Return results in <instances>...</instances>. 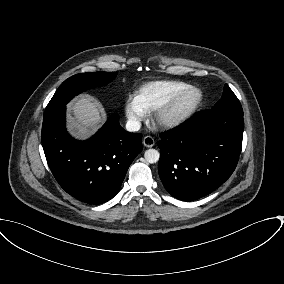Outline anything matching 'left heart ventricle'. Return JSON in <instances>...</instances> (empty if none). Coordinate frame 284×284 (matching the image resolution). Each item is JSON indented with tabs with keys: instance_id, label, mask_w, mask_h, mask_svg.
Here are the masks:
<instances>
[{
	"instance_id": "left-heart-ventricle-1",
	"label": "left heart ventricle",
	"mask_w": 284,
	"mask_h": 284,
	"mask_svg": "<svg viewBox=\"0 0 284 284\" xmlns=\"http://www.w3.org/2000/svg\"><path fill=\"white\" fill-rule=\"evenodd\" d=\"M195 94H190L183 102L182 108L188 107L195 99Z\"/></svg>"
}]
</instances>
